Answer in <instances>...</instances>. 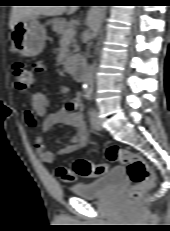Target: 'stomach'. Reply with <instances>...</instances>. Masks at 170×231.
I'll use <instances>...</instances> for the list:
<instances>
[{
    "instance_id": "1",
    "label": "stomach",
    "mask_w": 170,
    "mask_h": 231,
    "mask_svg": "<svg viewBox=\"0 0 170 231\" xmlns=\"http://www.w3.org/2000/svg\"><path fill=\"white\" fill-rule=\"evenodd\" d=\"M46 30L38 17H27L18 22L12 30V42L17 52L26 57H34L45 47Z\"/></svg>"
}]
</instances>
